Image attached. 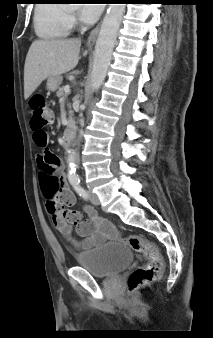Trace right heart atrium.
Masks as SVG:
<instances>
[{
  "mask_svg": "<svg viewBox=\"0 0 213 338\" xmlns=\"http://www.w3.org/2000/svg\"><path fill=\"white\" fill-rule=\"evenodd\" d=\"M66 21L69 25H74L76 23V16L73 13H67Z\"/></svg>",
  "mask_w": 213,
  "mask_h": 338,
  "instance_id": "right-heart-atrium-1",
  "label": "right heart atrium"
}]
</instances>
